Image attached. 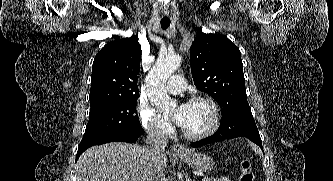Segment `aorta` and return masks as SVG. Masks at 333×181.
<instances>
[{
    "mask_svg": "<svg viewBox=\"0 0 333 181\" xmlns=\"http://www.w3.org/2000/svg\"><path fill=\"white\" fill-rule=\"evenodd\" d=\"M181 64L179 55L158 59L146 77L147 96L158 109L169 111L177 102L167 94L165 85L167 79Z\"/></svg>",
    "mask_w": 333,
    "mask_h": 181,
    "instance_id": "obj_1",
    "label": "aorta"
}]
</instances>
